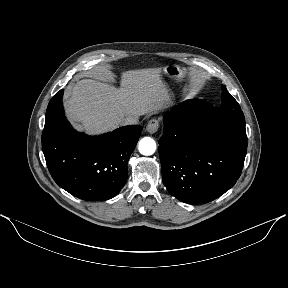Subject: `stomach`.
<instances>
[{"instance_id": "stomach-1", "label": "stomach", "mask_w": 288, "mask_h": 288, "mask_svg": "<svg viewBox=\"0 0 288 288\" xmlns=\"http://www.w3.org/2000/svg\"><path fill=\"white\" fill-rule=\"evenodd\" d=\"M165 74L176 81H181L186 73V69L183 66L177 64H170L164 68Z\"/></svg>"}]
</instances>
